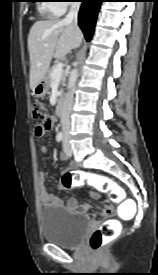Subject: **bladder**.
<instances>
[{
	"label": "bladder",
	"mask_w": 158,
	"mask_h": 275,
	"mask_svg": "<svg viewBox=\"0 0 158 275\" xmlns=\"http://www.w3.org/2000/svg\"><path fill=\"white\" fill-rule=\"evenodd\" d=\"M42 234L44 240L62 248H76L90 226L88 218L80 213H70L65 209L45 207L41 211Z\"/></svg>",
	"instance_id": "1"
}]
</instances>
